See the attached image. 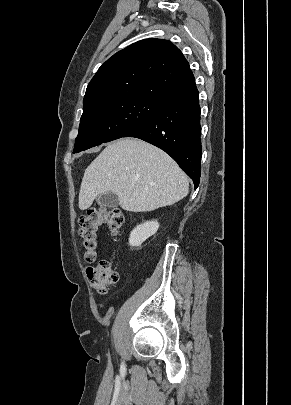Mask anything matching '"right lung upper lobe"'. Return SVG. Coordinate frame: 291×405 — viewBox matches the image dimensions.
<instances>
[{
	"instance_id": "1",
	"label": "right lung upper lobe",
	"mask_w": 291,
	"mask_h": 405,
	"mask_svg": "<svg viewBox=\"0 0 291 405\" xmlns=\"http://www.w3.org/2000/svg\"><path fill=\"white\" fill-rule=\"evenodd\" d=\"M194 84L189 63L175 45L164 39H144L102 64L88 84L83 109L125 98L164 102Z\"/></svg>"
}]
</instances>
